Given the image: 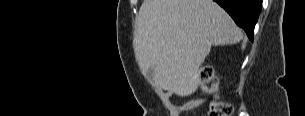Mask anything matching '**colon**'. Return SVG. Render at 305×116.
Wrapping results in <instances>:
<instances>
[{
    "mask_svg": "<svg viewBox=\"0 0 305 116\" xmlns=\"http://www.w3.org/2000/svg\"><path fill=\"white\" fill-rule=\"evenodd\" d=\"M198 80L202 89L210 94L217 95L219 90L218 80L213 74L209 66H203L198 73ZM233 107L227 103L220 101L217 97L210 103L206 116H231Z\"/></svg>",
    "mask_w": 305,
    "mask_h": 116,
    "instance_id": "1",
    "label": "colon"
}]
</instances>
